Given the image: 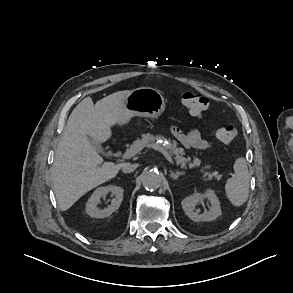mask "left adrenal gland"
Returning <instances> with one entry per match:
<instances>
[{
	"label": "left adrenal gland",
	"instance_id": "obj_1",
	"mask_svg": "<svg viewBox=\"0 0 293 293\" xmlns=\"http://www.w3.org/2000/svg\"><path fill=\"white\" fill-rule=\"evenodd\" d=\"M184 175V172L176 171L175 173L170 172V177L174 180H177L179 176Z\"/></svg>",
	"mask_w": 293,
	"mask_h": 293
}]
</instances>
